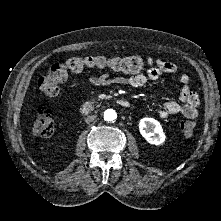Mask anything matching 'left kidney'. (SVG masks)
<instances>
[{"label": "left kidney", "instance_id": "5707ae66", "mask_svg": "<svg viewBox=\"0 0 221 221\" xmlns=\"http://www.w3.org/2000/svg\"><path fill=\"white\" fill-rule=\"evenodd\" d=\"M139 131L145 140L153 145H160L166 139L160 122L154 118H142L139 122Z\"/></svg>", "mask_w": 221, "mask_h": 221}]
</instances>
